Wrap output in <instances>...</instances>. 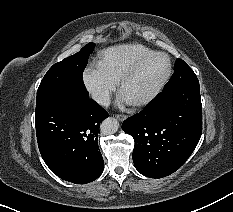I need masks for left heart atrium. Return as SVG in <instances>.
Returning <instances> with one entry per match:
<instances>
[{"label": "left heart atrium", "instance_id": "left-heart-atrium-1", "mask_svg": "<svg viewBox=\"0 0 233 212\" xmlns=\"http://www.w3.org/2000/svg\"><path fill=\"white\" fill-rule=\"evenodd\" d=\"M120 101L122 103H131L130 100L123 93L120 96Z\"/></svg>", "mask_w": 233, "mask_h": 212}]
</instances>
